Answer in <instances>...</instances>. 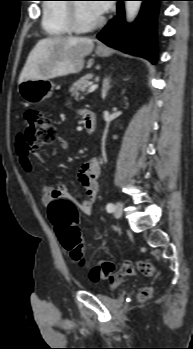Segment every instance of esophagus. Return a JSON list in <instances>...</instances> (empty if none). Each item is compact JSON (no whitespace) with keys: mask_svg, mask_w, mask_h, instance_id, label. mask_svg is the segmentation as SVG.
I'll return each mask as SVG.
<instances>
[{"mask_svg":"<svg viewBox=\"0 0 193 349\" xmlns=\"http://www.w3.org/2000/svg\"><path fill=\"white\" fill-rule=\"evenodd\" d=\"M98 46H99V47H104L102 44H99Z\"/></svg>","mask_w":193,"mask_h":349,"instance_id":"esophagus-1","label":"esophagus"}]
</instances>
